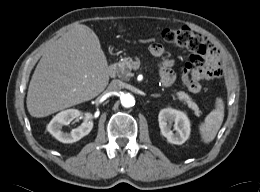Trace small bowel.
I'll list each match as a JSON object with an SVG mask.
<instances>
[{"mask_svg": "<svg viewBox=\"0 0 260 192\" xmlns=\"http://www.w3.org/2000/svg\"><path fill=\"white\" fill-rule=\"evenodd\" d=\"M149 50L154 57L160 58L159 72L161 83L166 87L170 86L176 78V75L172 70L173 61L162 57L164 54V47L160 43L152 44ZM195 75L196 89L190 90L193 93H198L201 90L200 81L219 78L222 75L219 57L215 51L207 58L206 64L200 68Z\"/></svg>", "mask_w": 260, "mask_h": 192, "instance_id": "obj_1", "label": "small bowel"}]
</instances>
